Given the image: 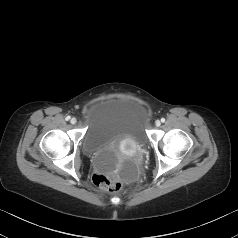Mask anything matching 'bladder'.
<instances>
[{
    "instance_id": "obj_1",
    "label": "bladder",
    "mask_w": 238,
    "mask_h": 238,
    "mask_svg": "<svg viewBox=\"0 0 238 238\" xmlns=\"http://www.w3.org/2000/svg\"><path fill=\"white\" fill-rule=\"evenodd\" d=\"M148 109L132 97H105L89 104L83 112L82 150L100 172L117 165L116 148L122 142L136 147L147 143Z\"/></svg>"
}]
</instances>
